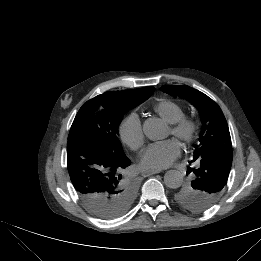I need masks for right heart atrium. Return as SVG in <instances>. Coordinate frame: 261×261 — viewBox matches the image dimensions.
Here are the masks:
<instances>
[{"instance_id": "right-heart-atrium-1", "label": "right heart atrium", "mask_w": 261, "mask_h": 261, "mask_svg": "<svg viewBox=\"0 0 261 261\" xmlns=\"http://www.w3.org/2000/svg\"><path fill=\"white\" fill-rule=\"evenodd\" d=\"M119 135L121 140L133 151L139 150L144 143V133L140 117L131 112L120 123Z\"/></svg>"}]
</instances>
